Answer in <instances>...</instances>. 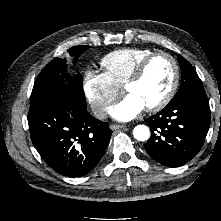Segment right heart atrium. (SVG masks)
<instances>
[{"label":"right heart atrium","mask_w":221,"mask_h":221,"mask_svg":"<svg viewBox=\"0 0 221 221\" xmlns=\"http://www.w3.org/2000/svg\"><path fill=\"white\" fill-rule=\"evenodd\" d=\"M83 91L94 114L103 118L118 98L119 86L107 74L88 70L83 78Z\"/></svg>","instance_id":"d8ad5b80"}]
</instances>
